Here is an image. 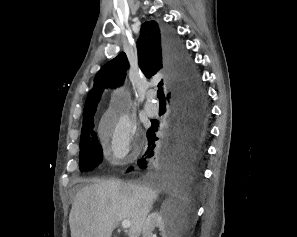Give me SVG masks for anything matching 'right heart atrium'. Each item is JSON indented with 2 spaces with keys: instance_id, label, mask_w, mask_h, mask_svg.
<instances>
[{
  "instance_id": "right-heart-atrium-1",
  "label": "right heart atrium",
  "mask_w": 297,
  "mask_h": 237,
  "mask_svg": "<svg viewBox=\"0 0 297 237\" xmlns=\"http://www.w3.org/2000/svg\"><path fill=\"white\" fill-rule=\"evenodd\" d=\"M136 132L134 119L118 109L108 111L98 126L105 154L112 162H123L130 157L136 144Z\"/></svg>"
}]
</instances>
